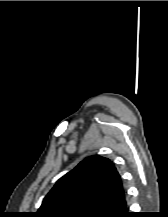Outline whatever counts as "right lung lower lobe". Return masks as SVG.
<instances>
[{"label":"right lung lower lobe","mask_w":168,"mask_h":217,"mask_svg":"<svg viewBox=\"0 0 168 217\" xmlns=\"http://www.w3.org/2000/svg\"><path fill=\"white\" fill-rule=\"evenodd\" d=\"M106 217H135V215L129 212L127 204H124Z\"/></svg>","instance_id":"right-lung-lower-lobe-1"}]
</instances>
